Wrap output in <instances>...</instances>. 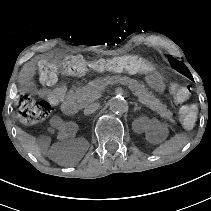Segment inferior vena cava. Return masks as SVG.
Masks as SVG:
<instances>
[{
    "instance_id": "602c4592",
    "label": "inferior vena cava",
    "mask_w": 211,
    "mask_h": 211,
    "mask_svg": "<svg viewBox=\"0 0 211 211\" xmlns=\"http://www.w3.org/2000/svg\"><path fill=\"white\" fill-rule=\"evenodd\" d=\"M98 109H99V105L97 103H92L84 109V115L89 116L93 114L94 112H96Z\"/></svg>"
}]
</instances>
